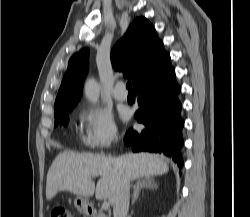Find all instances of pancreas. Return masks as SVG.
Instances as JSON below:
<instances>
[{"mask_svg":"<svg viewBox=\"0 0 250 217\" xmlns=\"http://www.w3.org/2000/svg\"><path fill=\"white\" fill-rule=\"evenodd\" d=\"M94 217H108L105 213H103L102 211H99L97 215H95Z\"/></svg>","mask_w":250,"mask_h":217,"instance_id":"1","label":"pancreas"}]
</instances>
